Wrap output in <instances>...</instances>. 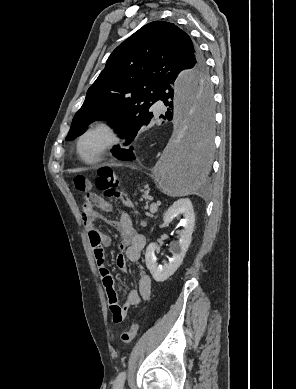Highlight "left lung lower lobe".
<instances>
[{
	"mask_svg": "<svg viewBox=\"0 0 296 389\" xmlns=\"http://www.w3.org/2000/svg\"><path fill=\"white\" fill-rule=\"evenodd\" d=\"M192 94L198 96L196 104L199 106L198 127L196 132H191L185 142V155L191 166V172L194 179H200L205 176L210 166V157L212 150V141L209 136V128L212 123V106L213 99L210 86L205 82L203 76H194L191 78ZM174 79L165 81L159 90L158 100H162L165 106H168L164 119L171 121L176 120V93L174 89ZM130 143L132 136L125 138ZM114 157L120 160L132 161L135 159L133 147L122 149L115 146L111 150Z\"/></svg>",
	"mask_w": 296,
	"mask_h": 389,
	"instance_id": "0a47b994",
	"label": "left lung lower lobe"
}]
</instances>
